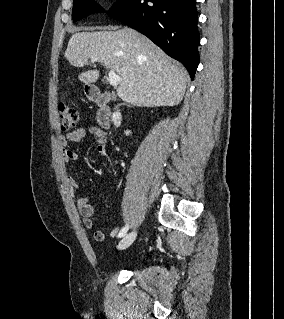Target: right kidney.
Instances as JSON below:
<instances>
[{
  "instance_id": "1",
  "label": "right kidney",
  "mask_w": 284,
  "mask_h": 319,
  "mask_svg": "<svg viewBox=\"0 0 284 319\" xmlns=\"http://www.w3.org/2000/svg\"><path fill=\"white\" fill-rule=\"evenodd\" d=\"M125 133H126V135H128L130 133V131H126Z\"/></svg>"
}]
</instances>
